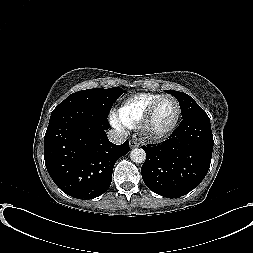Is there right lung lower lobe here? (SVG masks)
<instances>
[{"instance_id": "1", "label": "right lung lower lobe", "mask_w": 253, "mask_h": 253, "mask_svg": "<svg viewBox=\"0 0 253 253\" xmlns=\"http://www.w3.org/2000/svg\"><path fill=\"white\" fill-rule=\"evenodd\" d=\"M107 118L82 107L54 109L44 138L46 168L55 184L78 199H93L109 188L118 158L129 142L111 143Z\"/></svg>"}]
</instances>
